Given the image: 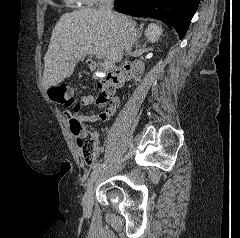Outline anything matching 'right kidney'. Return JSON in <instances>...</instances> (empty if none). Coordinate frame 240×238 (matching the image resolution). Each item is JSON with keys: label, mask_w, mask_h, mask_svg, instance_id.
I'll return each mask as SVG.
<instances>
[{"label": "right kidney", "mask_w": 240, "mask_h": 238, "mask_svg": "<svg viewBox=\"0 0 240 238\" xmlns=\"http://www.w3.org/2000/svg\"><path fill=\"white\" fill-rule=\"evenodd\" d=\"M161 34L162 27L154 23L149 24L148 28L145 31V37L152 43L157 42Z\"/></svg>", "instance_id": "1"}]
</instances>
